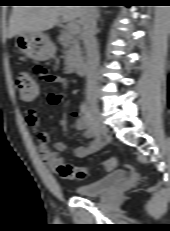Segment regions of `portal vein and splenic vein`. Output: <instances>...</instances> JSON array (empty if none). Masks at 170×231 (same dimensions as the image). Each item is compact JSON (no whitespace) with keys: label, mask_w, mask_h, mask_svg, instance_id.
Segmentation results:
<instances>
[{"label":"portal vein and splenic vein","mask_w":170,"mask_h":231,"mask_svg":"<svg viewBox=\"0 0 170 231\" xmlns=\"http://www.w3.org/2000/svg\"><path fill=\"white\" fill-rule=\"evenodd\" d=\"M67 29L73 35H76L79 32V26L75 23H69Z\"/></svg>","instance_id":"18ae733b"}]
</instances>
